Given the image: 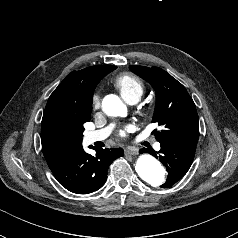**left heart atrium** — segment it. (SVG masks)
I'll return each instance as SVG.
<instances>
[{
    "label": "left heart atrium",
    "instance_id": "39dd6f15",
    "mask_svg": "<svg viewBox=\"0 0 238 238\" xmlns=\"http://www.w3.org/2000/svg\"><path fill=\"white\" fill-rule=\"evenodd\" d=\"M119 135L122 136V137L125 136L126 135V129L120 130Z\"/></svg>",
    "mask_w": 238,
    "mask_h": 238
}]
</instances>
